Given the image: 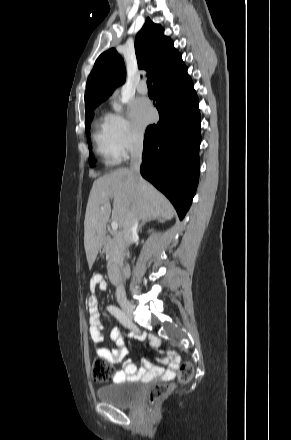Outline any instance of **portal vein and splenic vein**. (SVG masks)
I'll return each mask as SVG.
<instances>
[{"label": "portal vein and splenic vein", "instance_id": "1", "mask_svg": "<svg viewBox=\"0 0 291 440\" xmlns=\"http://www.w3.org/2000/svg\"><path fill=\"white\" fill-rule=\"evenodd\" d=\"M101 210H104V207H101ZM111 227L113 231H116L118 229V223L116 221H113L111 223Z\"/></svg>", "mask_w": 291, "mask_h": 440}]
</instances>
